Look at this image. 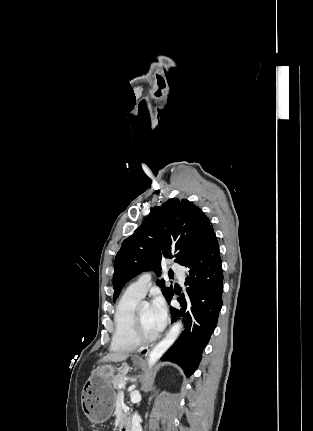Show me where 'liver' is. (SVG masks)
I'll list each match as a JSON object with an SVG mask.
<instances>
[{
  "instance_id": "obj_1",
  "label": "liver",
  "mask_w": 313,
  "mask_h": 431,
  "mask_svg": "<svg viewBox=\"0 0 313 431\" xmlns=\"http://www.w3.org/2000/svg\"><path fill=\"white\" fill-rule=\"evenodd\" d=\"M128 357L129 354L123 352L109 353L99 362H124Z\"/></svg>"
}]
</instances>
